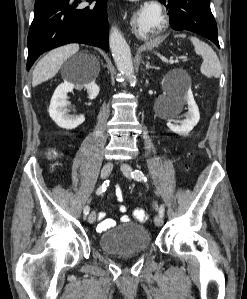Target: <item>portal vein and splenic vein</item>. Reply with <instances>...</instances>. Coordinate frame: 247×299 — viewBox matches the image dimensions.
I'll use <instances>...</instances> for the list:
<instances>
[{
  "label": "portal vein and splenic vein",
  "instance_id": "18ae733b",
  "mask_svg": "<svg viewBox=\"0 0 247 299\" xmlns=\"http://www.w3.org/2000/svg\"><path fill=\"white\" fill-rule=\"evenodd\" d=\"M169 62H170V64L177 63V62H178V59H176V60L170 59Z\"/></svg>",
  "mask_w": 247,
  "mask_h": 299
}]
</instances>
